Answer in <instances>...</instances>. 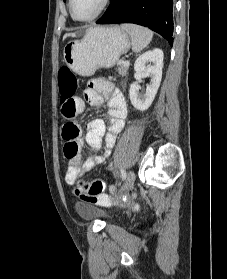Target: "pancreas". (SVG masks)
Instances as JSON below:
<instances>
[{
  "label": "pancreas",
  "mask_w": 227,
  "mask_h": 279,
  "mask_svg": "<svg viewBox=\"0 0 227 279\" xmlns=\"http://www.w3.org/2000/svg\"><path fill=\"white\" fill-rule=\"evenodd\" d=\"M128 69L129 66H124L123 64L119 65V67H117L116 71L118 72V74L120 76H126L128 73Z\"/></svg>",
  "instance_id": "cf45deb5"
}]
</instances>
